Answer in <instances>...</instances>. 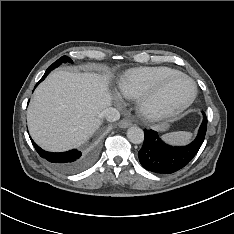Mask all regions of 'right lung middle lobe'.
I'll list each match as a JSON object with an SVG mask.
<instances>
[{
  "label": "right lung middle lobe",
  "mask_w": 234,
  "mask_h": 234,
  "mask_svg": "<svg viewBox=\"0 0 234 234\" xmlns=\"http://www.w3.org/2000/svg\"><path fill=\"white\" fill-rule=\"evenodd\" d=\"M63 62H70L73 63V61L67 57V56H62L61 58H59L56 62H54L49 68L51 70H53L54 68L58 67L60 64H62Z\"/></svg>",
  "instance_id": "right-lung-middle-lobe-1"
}]
</instances>
